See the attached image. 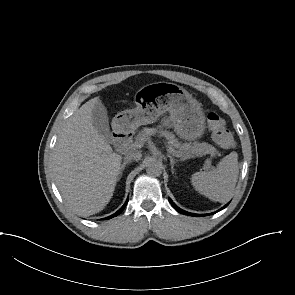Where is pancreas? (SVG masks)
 <instances>
[{"label":"pancreas","mask_w":295,"mask_h":295,"mask_svg":"<svg viewBox=\"0 0 295 295\" xmlns=\"http://www.w3.org/2000/svg\"><path fill=\"white\" fill-rule=\"evenodd\" d=\"M158 134L159 136H163L168 140L169 146L172 148H175L176 151L178 152L179 155L183 154L184 152H206L211 154V156H215L218 154V151L215 147L208 143H193L192 145L190 144H181L178 139L175 137V135L172 132H169L167 130H162L161 128H144L136 137V140H141L143 139L144 141L149 137V136H154Z\"/></svg>","instance_id":"pancreas-1"}]
</instances>
